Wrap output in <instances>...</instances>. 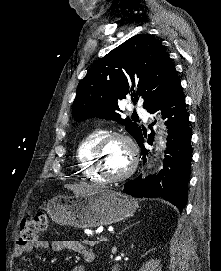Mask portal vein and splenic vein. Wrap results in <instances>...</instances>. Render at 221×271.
Listing matches in <instances>:
<instances>
[{
    "instance_id": "1",
    "label": "portal vein and splenic vein",
    "mask_w": 221,
    "mask_h": 271,
    "mask_svg": "<svg viewBox=\"0 0 221 271\" xmlns=\"http://www.w3.org/2000/svg\"><path fill=\"white\" fill-rule=\"evenodd\" d=\"M109 237L107 235H100L99 239L100 240H107Z\"/></svg>"
}]
</instances>
